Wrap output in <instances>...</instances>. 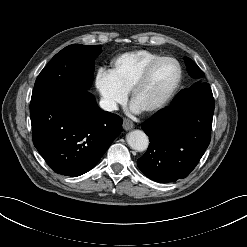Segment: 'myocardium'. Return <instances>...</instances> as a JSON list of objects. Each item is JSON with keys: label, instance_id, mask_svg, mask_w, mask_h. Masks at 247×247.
<instances>
[{"label": "myocardium", "instance_id": "obj_1", "mask_svg": "<svg viewBox=\"0 0 247 247\" xmlns=\"http://www.w3.org/2000/svg\"><path fill=\"white\" fill-rule=\"evenodd\" d=\"M163 60H171L176 64L177 67V78L174 82V84L172 85V87L170 88V90L166 93V95L159 100L158 102H156L155 104L151 105L150 107L143 109L145 112H155L158 111L159 109H161L162 107H164L169 101L170 99L174 96V94L176 93L177 89L180 86L181 80H182V66L179 63V61L172 57V56H159L158 58L154 59L153 61H151L144 69L143 71L140 73V75L137 77V79L135 80V82L133 83L131 89H130V96H131V100L134 101V98L137 94V92L144 86V84L147 82L152 70L155 68V66L163 61Z\"/></svg>", "mask_w": 247, "mask_h": 247}]
</instances>
